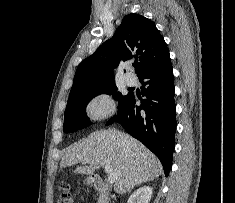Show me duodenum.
Masks as SVG:
<instances>
[{
	"label": "duodenum",
	"instance_id": "duodenum-1",
	"mask_svg": "<svg viewBox=\"0 0 235 203\" xmlns=\"http://www.w3.org/2000/svg\"><path fill=\"white\" fill-rule=\"evenodd\" d=\"M91 183L94 186V188H96L99 192H101L103 194L108 193L107 185L101 177L93 176L91 178Z\"/></svg>",
	"mask_w": 235,
	"mask_h": 203
}]
</instances>
